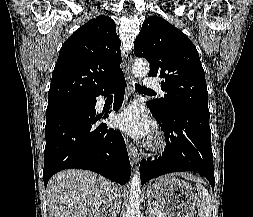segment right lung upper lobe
<instances>
[{
	"label": "right lung upper lobe",
	"mask_w": 253,
	"mask_h": 217,
	"mask_svg": "<svg viewBox=\"0 0 253 217\" xmlns=\"http://www.w3.org/2000/svg\"><path fill=\"white\" fill-rule=\"evenodd\" d=\"M120 44L108 16L93 18L75 31L60 49L48 102L89 98L105 90L123 74Z\"/></svg>",
	"instance_id": "1"
}]
</instances>
